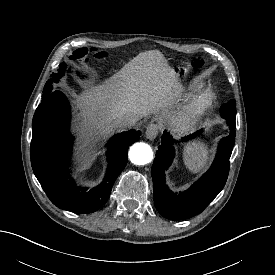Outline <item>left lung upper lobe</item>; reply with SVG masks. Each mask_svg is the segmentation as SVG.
Here are the masks:
<instances>
[{
	"label": "left lung upper lobe",
	"mask_w": 275,
	"mask_h": 275,
	"mask_svg": "<svg viewBox=\"0 0 275 275\" xmlns=\"http://www.w3.org/2000/svg\"><path fill=\"white\" fill-rule=\"evenodd\" d=\"M220 114L226 121L230 123H235L236 118V103L234 100H231L227 104H223L220 108Z\"/></svg>",
	"instance_id": "1"
}]
</instances>
